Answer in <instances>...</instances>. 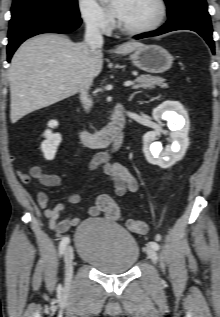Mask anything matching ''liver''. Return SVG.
Returning <instances> with one entry per match:
<instances>
[{"label": "liver", "mask_w": 220, "mask_h": 317, "mask_svg": "<svg viewBox=\"0 0 220 317\" xmlns=\"http://www.w3.org/2000/svg\"><path fill=\"white\" fill-rule=\"evenodd\" d=\"M142 46L127 42L119 45L116 53L128 54ZM102 67L101 48L90 50L85 42L74 43L57 34H41L25 41L9 68L11 122L80 92L86 82L91 85Z\"/></svg>", "instance_id": "1"}]
</instances>
